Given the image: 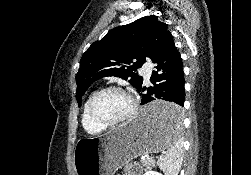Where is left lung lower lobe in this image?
<instances>
[{"mask_svg":"<svg viewBox=\"0 0 251 175\" xmlns=\"http://www.w3.org/2000/svg\"><path fill=\"white\" fill-rule=\"evenodd\" d=\"M157 64L150 81L153 86L147 93H141L142 105L161 99L171 102L150 108L142 113L141 119L148 124H176L183 118L184 106V72L180 53L177 51L173 37L169 34L160 52L152 59ZM146 88L138 89L139 92Z\"/></svg>","mask_w":251,"mask_h":175,"instance_id":"left-lung-lower-lobe-1","label":"left lung lower lobe"}]
</instances>
